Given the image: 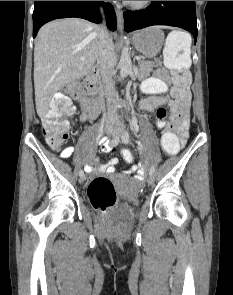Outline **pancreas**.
Here are the masks:
<instances>
[{
    "instance_id": "pancreas-1",
    "label": "pancreas",
    "mask_w": 233,
    "mask_h": 295,
    "mask_svg": "<svg viewBox=\"0 0 233 295\" xmlns=\"http://www.w3.org/2000/svg\"><path fill=\"white\" fill-rule=\"evenodd\" d=\"M138 64H139V73L137 74V77L140 80L147 78L150 75V72L153 71V68L159 66V63L145 61V60H140Z\"/></svg>"
}]
</instances>
